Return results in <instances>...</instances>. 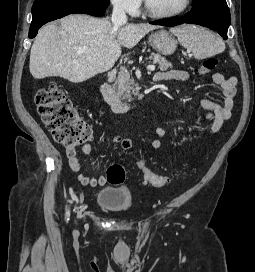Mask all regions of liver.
<instances>
[{
  "label": "liver",
  "instance_id": "liver-1",
  "mask_svg": "<svg viewBox=\"0 0 255 272\" xmlns=\"http://www.w3.org/2000/svg\"><path fill=\"white\" fill-rule=\"evenodd\" d=\"M60 27H42L30 52V73L35 79L58 76L72 83L86 81L110 70L121 55V46L134 47L158 26L141 23L114 28L107 19L85 14L62 18Z\"/></svg>",
  "mask_w": 255,
  "mask_h": 272
}]
</instances>
